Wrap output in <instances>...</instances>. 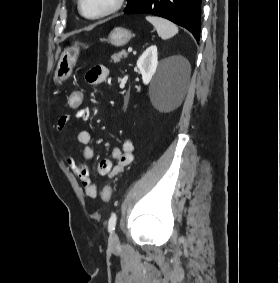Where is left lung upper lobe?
<instances>
[{"mask_svg": "<svg viewBox=\"0 0 280 283\" xmlns=\"http://www.w3.org/2000/svg\"><path fill=\"white\" fill-rule=\"evenodd\" d=\"M136 1L137 0H128L127 8H129L131 5H133Z\"/></svg>", "mask_w": 280, "mask_h": 283, "instance_id": "1", "label": "left lung upper lobe"}]
</instances>
